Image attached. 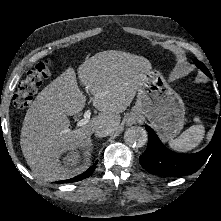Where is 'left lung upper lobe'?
<instances>
[{
  "instance_id": "obj_1",
  "label": "left lung upper lobe",
  "mask_w": 221,
  "mask_h": 221,
  "mask_svg": "<svg viewBox=\"0 0 221 221\" xmlns=\"http://www.w3.org/2000/svg\"><path fill=\"white\" fill-rule=\"evenodd\" d=\"M195 64L197 65L198 68H200L205 74L209 75L208 69L198 60H194Z\"/></svg>"
}]
</instances>
